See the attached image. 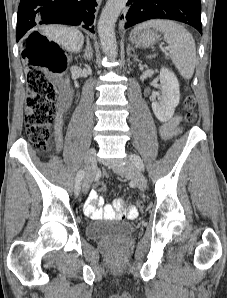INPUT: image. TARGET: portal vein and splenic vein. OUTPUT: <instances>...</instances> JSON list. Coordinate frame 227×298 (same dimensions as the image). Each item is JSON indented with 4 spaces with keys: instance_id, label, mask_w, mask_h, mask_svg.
<instances>
[{
    "instance_id": "1",
    "label": "portal vein and splenic vein",
    "mask_w": 227,
    "mask_h": 298,
    "mask_svg": "<svg viewBox=\"0 0 227 298\" xmlns=\"http://www.w3.org/2000/svg\"><path fill=\"white\" fill-rule=\"evenodd\" d=\"M171 47H166L167 50H170Z\"/></svg>"
}]
</instances>
